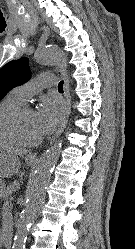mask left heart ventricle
I'll return each mask as SVG.
<instances>
[{
  "label": "left heart ventricle",
  "instance_id": "obj_1",
  "mask_svg": "<svg viewBox=\"0 0 135 249\" xmlns=\"http://www.w3.org/2000/svg\"><path fill=\"white\" fill-rule=\"evenodd\" d=\"M18 129L21 135L29 140H34L41 136L35 122L33 110L26 111L19 117Z\"/></svg>",
  "mask_w": 135,
  "mask_h": 249
}]
</instances>
